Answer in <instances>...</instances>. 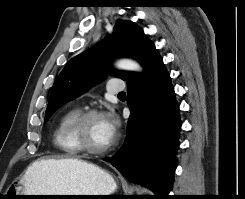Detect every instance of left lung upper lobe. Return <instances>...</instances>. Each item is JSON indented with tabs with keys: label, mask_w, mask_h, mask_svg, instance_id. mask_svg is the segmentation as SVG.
<instances>
[{
	"label": "left lung upper lobe",
	"mask_w": 245,
	"mask_h": 199,
	"mask_svg": "<svg viewBox=\"0 0 245 199\" xmlns=\"http://www.w3.org/2000/svg\"><path fill=\"white\" fill-rule=\"evenodd\" d=\"M154 51H157L155 46L140 27L133 22L118 21L108 42L97 44L66 64L52 87L44 123L60 106L77 98L106 76V59L131 57L145 67ZM138 75L140 74L129 71L116 73V76L126 82Z\"/></svg>",
	"instance_id": "left-lung-upper-lobe-1"
}]
</instances>
